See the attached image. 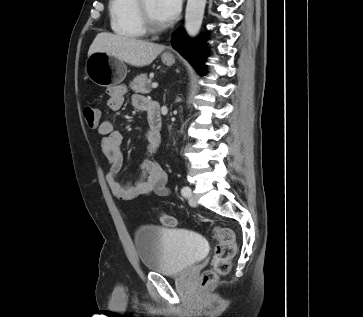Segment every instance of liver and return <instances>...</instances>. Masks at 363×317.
<instances>
[{"instance_id":"6515ba94","label":"liver","mask_w":363,"mask_h":317,"mask_svg":"<svg viewBox=\"0 0 363 317\" xmlns=\"http://www.w3.org/2000/svg\"><path fill=\"white\" fill-rule=\"evenodd\" d=\"M164 48V45L102 32L95 37L88 56L95 52H106L129 65L143 67L152 63Z\"/></svg>"}]
</instances>
